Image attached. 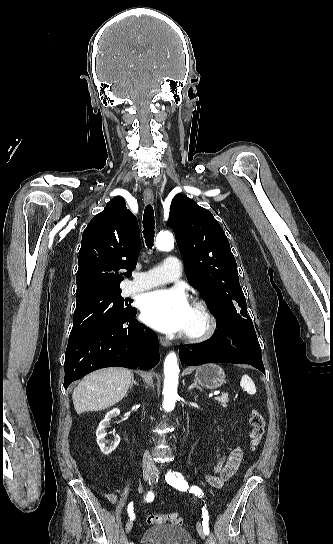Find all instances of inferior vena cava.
I'll use <instances>...</instances> for the list:
<instances>
[{"instance_id": "inferior-vena-cava-1", "label": "inferior vena cava", "mask_w": 333, "mask_h": 544, "mask_svg": "<svg viewBox=\"0 0 333 544\" xmlns=\"http://www.w3.org/2000/svg\"><path fill=\"white\" fill-rule=\"evenodd\" d=\"M143 468H154V462L148 451L143 455Z\"/></svg>"}]
</instances>
